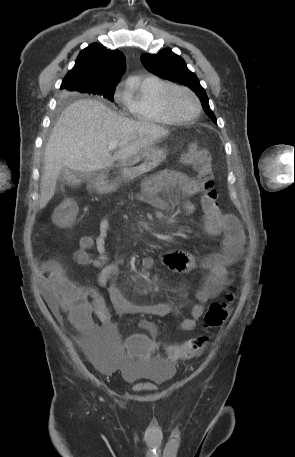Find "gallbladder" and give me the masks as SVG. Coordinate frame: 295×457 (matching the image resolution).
<instances>
[{
    "label": "gallbladder",
    "instance_id": "bac80fb5",
    "mask_svg": "<svg viewBox=\"0 0 295 457\" xmlns=\"http://www.w3.org/2000/svg\"><path fill=\"white\" fill-rule=\"evenodd\" d=\"M82 179L81 174L75 173L66 167L62 168L58 175V181L69 186H76Z\"/></svg>",
    "mask_w": 295,
    "mask_h": 457
}]
</instances>
